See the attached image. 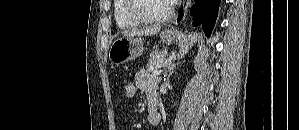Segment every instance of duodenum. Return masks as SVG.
I'll return each instance as SVG.
<instances>
[{"label":"duodenum","instance_id":"410a0bca","mask_svg":"<svg viewBox=\"0 0 299 130\" xmlns=\"http://www.w3.org/2000/svg\"><path fill=\"white\" fill-rule=\"evenodd\" d=\"M147 108L149 112V116L151 118L157 117L158 114V100L157 97L154 95H148L147 96Z\"/></svg>","mask_w":299,"mask_h":130}]
</instances>
